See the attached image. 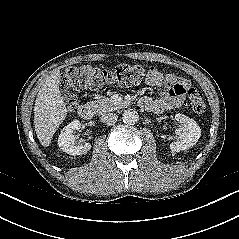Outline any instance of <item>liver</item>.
<instances>
[{"label":"liver","instance_id":"1","mask_svg":"<svg viewBox=\"0 0 239 239\" xmlns=\"http://www.w3.org/2000/svg\"><path fill=\"white\" fill-rule=\"evenodd\" d=\"M61 74L55 69L40 88L34 106V126L37 138L47 147L58 127L63 123L67 109L59 90Z\"/></svg>","mask_w":239,"mask_h":239}]
</instances>
